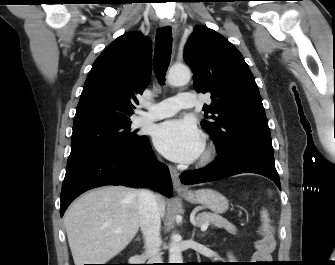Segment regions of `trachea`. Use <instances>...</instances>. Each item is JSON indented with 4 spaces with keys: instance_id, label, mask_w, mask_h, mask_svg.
<instances>
[{
    "instance_id": "3493384b",
    "label": "trachea",
    "mask_w": 335,
    "mask_h": 265,
    "mask_svg": "<svg viewBox=\"0 0 335 265\" xmlns=\"http://www.w3.org/2000/svg\"><path fill=\"white\" fill-rule=\"evenodd\" d=\"M172 51V30L163 27L157 31L153 65L158 80L163 83L170 64Z\"/></svg>"
}]
</instances>
